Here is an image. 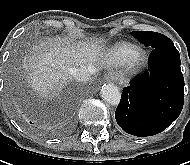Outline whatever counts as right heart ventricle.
Listing matches in <instances>:
<instances>
[{"label": "right heart ventricle", "mask_w": 190, "mask_h": 165, "mask_svg": "<svg viewBox=\"0 0 190 165\" xmlns=\"http://www.w3.org/2000/svg\"><path fill=\"white\" fill-rule=\"evenodd\" d=\"M138 49V47L127 41L115 43L108 51L107 56L113 64L122 65L127 62L129 57Z\"/></svg>", "instance_id": "obj_1"}]
</instances>
